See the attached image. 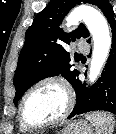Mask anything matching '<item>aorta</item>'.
<instances>
[{
	"label": "aorta",
	"instance_id": "aorta-1",
	"mask_svg": "<svg viewBox=\"0 0 116 134\" xmlns=\"http://www.w3.org/2000/svg\"><path fill=\"white\" fill-rule=\"evenodd\" d=\"M79 20L85 23L94 41L88 76L90 82L93 83L100 75L102 67L109 55L111 36L105 17L93 7L81 5L75 8L67 17V25H73Z\"/></svg>",
	"mask_w": 116,
	"mask_h": 134
}]
</instances>
